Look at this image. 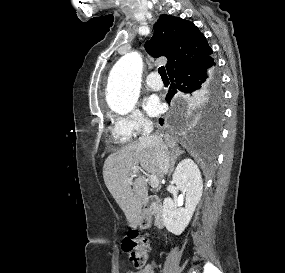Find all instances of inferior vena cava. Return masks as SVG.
I'll list each match as a JSON object with an SVG mask.
<instances>
[{"instance_id": "obj_1", "label": "inferior vena cava", "mask_w": 285, "mask_h": 273, "mask_svg": "<svg viewBox=\"0 0 285 273\" xmlns=\"http://www.w3.org/2000/svg\"><path fill=\"white\" fill-rule=\"evenodd\" d=\"M153 124L149 120L143 121L141 137L139 138L142 142L152 144L156 148L157 161L163 174H167L170 169L169 151L163 143L162 138L159 135H153Z\"/></svg>"}]
</instances>
